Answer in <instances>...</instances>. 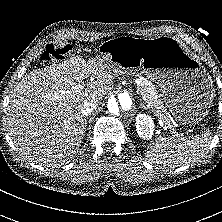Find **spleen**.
I'll return each mask as SVG.
<instances>
[{
    "mask_svg": "<svg viewBox=\"0 0 222 222\" xmlns=\"http://www.w3.org/2000/svg\"><path fill=\"white\" fill-rule=\"evenodd\" d=\"M211 133L193 137L191 140L177 142L172 137L159 136L147 150V157L156 164L176 167L190 164L201 158L208 150Z\"/></svg>",
    "mask_w": 222,
    "mask_h": 222,
    "instance_id": "obj_1",
    "label": "spleen"
}]
</instances>
